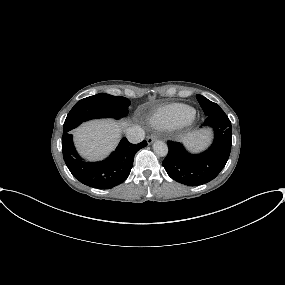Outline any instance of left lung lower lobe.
I'll use <instances>...</instances> for the list:
<instances>
[{"instance_id":"obj_1","label":"left lung lower lobe","mask_w":285,"mask_h":285,"mask_svg":"<svg viewBox=\"0 0 285 285\" xmlns=\"http://www.w3.org/2000/svg\"><path fill=\"white\" fill-rule=\"evenodd\" d=\"M205 126L213 128L215 138L203 153L192 155L182 144L168 141V155L162 165L175 181L187 186H198L213 180L224 168L231 151V122L224 112L207 116Z\"/></svg>"}]
</instances>
